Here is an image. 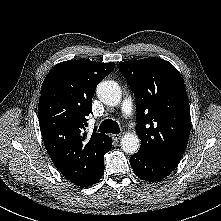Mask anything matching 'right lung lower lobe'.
Returning a JSON list of instances; mask_svg holds the SVG:
<instances>
[{"label":"right lung lower lobe","instance_id":"1","mask_svg":"<svg viewBox=\"0 0 221 221\" xmlns=\"http://www.w3.org/2000/svg\"><path fill=\"white\" fill-rule=\"evenodd\" d=\"M111 147H112V140L110 141V149H111ZM103 173H104V165L86 184L82 185V187H87V186H91V185L95 184L96 182H98L102 178Z\"/></svg>","mask_w":221,"mask_h":221}]
</instances>
